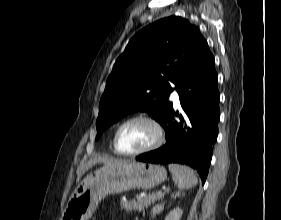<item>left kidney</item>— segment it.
<instances>
[{"mask_svg":"<svg viewBox=\"0 0 281 220\" xmlns=\"http://www.w3.org/2000/svg\"><path fill=\"white\" fill-rule=\"evenodd\" d=\"M183 211L181 208L176 207L166 216L165 220H180L182 217Z\"/></svg>","mask_w":281,"mask_h":220,"instance_id":"obj_1","label":"left kidney"}]
</instances>
